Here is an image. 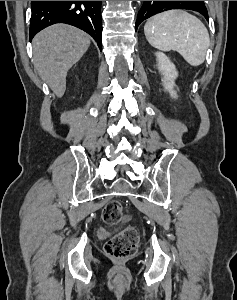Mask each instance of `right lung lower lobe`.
Wrapping results in <instances>:
<instances>
[{
  "label": "right lung lower lobe",
  "instance_id": "right-lung-lower-lobe-1",
  "mask_svg": "<svg viewBox=\"0 0 237 300\" xmlns=\"http://www.w3.org/2000/svg\"><path fill=\"white\" fill-rule=\"evenodd\" d=\"M30 38L42 29L66 23L89 33L102 49L101 1H31Z\"/></svg>",
  "mask_w": 237,
  "mask_h": 300
}]
</instances>
